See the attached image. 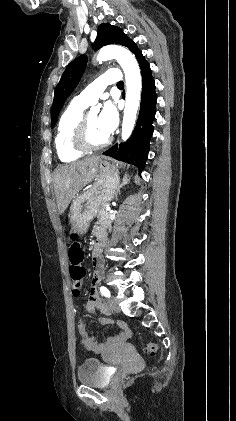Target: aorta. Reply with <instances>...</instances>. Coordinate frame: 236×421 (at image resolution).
<instances>
[{
  "mask_svg": "<svg viewBox=\"0 0 236 421\" xmlns=\"http://www.w3.org/2000/svg\"><path fill=\"white\" fill-rule=\"evenodd\" d=\"M110 58H116L125 72L126 98L121 136L123 140H127L134 128L140 104L141 72L134 54H131L130 50L123 48V46H115V44L103 46V48H100L95 60L102 62V60H110Z\"/></svg>",
  "mask_w": 236,
  "mask_h": 421,
  "instance_id": "762f6f07",
  "label": "aorta"
}]
</instances>
